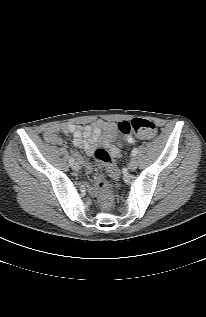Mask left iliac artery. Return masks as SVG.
Returning <instances> with one entry per match:
<instances>
[{
	"label": "left iliac artery",
	"instance_id": "1",
	"mask_svg": "<svg viewBox=\"0 0 206 317\" xmlns=\"http://www.w3.org/2000/svg\"><path fill=\"white\" fill-rule=\"evenodd\" d=\"M137 153H138L137 148H134V149L132 150V156H136V155H137Z\"/></svg>",
	"mask_w": 206,
	"mask_h": 317
}]
</instances>
